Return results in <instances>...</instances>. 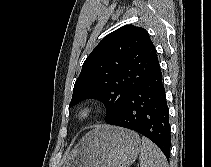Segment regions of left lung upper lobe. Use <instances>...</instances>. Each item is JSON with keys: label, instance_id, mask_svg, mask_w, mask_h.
<instances>
[{"label": "left lung upper lobe", "instance_id": "1", "mask_svg": "<svg viewBox=\"0 0 211 167\" xmlns=\"http://www.w3.org/2000/svg\"><path fill=\"white\" fill-rule=\"evenodd\" d=\"M158 63L148 32L125 25L104 37L83 63L69 107L86 98L101 100L105 121L115 117L127 96Z\"/></svg>", "mask_w": 211, "mask_h": 167}]
</instances>
